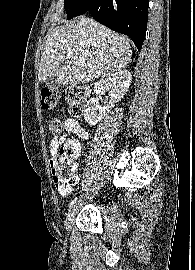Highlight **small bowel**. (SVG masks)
Segmentation results:
<instances>
[{
    "instance_id": "obj_1",
    "label": "small bowel",
    "mask_w": 195,
    "mask_h": 270,
    "mask_svg": "<svg viewBox=\"0 0 195 270\" xmlns=\"http://www.w3.org/2000/svg\"><path fill=\"white\" fill-rule=\"evenodd\" d=\"M64 126H65V132L60 136L54 137L50 142V153L52 156L57 154L59 146L63 144L64 142H66L67 137L70 135H75L79 139H82V140H86L89 138V132L85 128H83L80 125L79 121L75 118H67L64 121ZM51 166H52V161H51ZM68 193L64 195H67Z\"/></svg>"
}]
</instances>
